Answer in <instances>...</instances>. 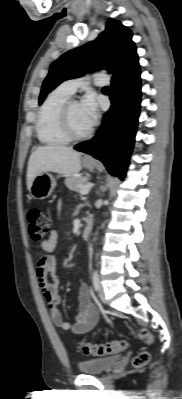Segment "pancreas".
<instances>
[{"mask_svg":"<svg viewBox=\"0 0 182 399\" xmlns=\"http://www.w3.org/2000/svg\"><path fill=\"white\" fill-rule=\"evenodd\" d=\"M88 178L84 176L69 177L65 180V185L72 191L81 192V187L84 186Z\"/></svg>","mask_w":182,"mask_h":399,"instance_id":"1","label":"pancreas"}]
</instances>
